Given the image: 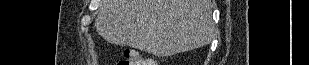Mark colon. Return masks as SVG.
<instances>
[{"label":"colon","mask_w":309,"mask_h":65,"mask_svg":"<svg viewBox=\"0 0 309 65\" xmlns=\"http://www.w3.org/2000/svg\"><path fill=\"white\" fill-rule=\"evenodd\" d=\"M152 60L144 59L140 52L136 50H128L124 58L119 61L118 65H154V62L147 63Z\"/></svg>","instance_id":"5ec220e1"}]
</instances>
